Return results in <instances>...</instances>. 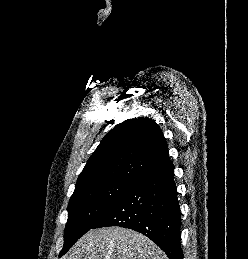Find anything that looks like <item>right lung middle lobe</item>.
Here are the masks:
<instances>
[{"mask_svg": "<svg viewBox=\"0 0 248 259\" xmlns=\"http://www.w3.org/2000/svg\"><path fill=\"white\" fill-rule=\"evenodd\" d=\"M131 184L114 180L75 188L68 205V221L60 257L108 213Z\"/></svg>", "mask_w": 248, "mask_h": 259, "instance_id": "right-lung-middle-lobe-1", "label": "right lung middle lobe"}]
</instances>
